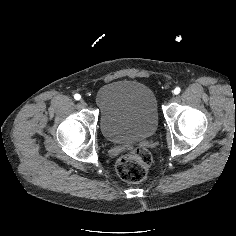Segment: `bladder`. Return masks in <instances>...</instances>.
I'll use <instances>...</instances> for the list:
<instances>
[{
  "mask_svg": "<svg viewBox=\"0 0 236 236\" xmlns=\"http://www.w3.org/2000/svg\"><path fill=\"white\" fill-rule=\"evenodd\" d=\"M100 127L105 139L113 144L146 140L158 128V101L147 85L118 80L102 86L95 94Z\"/></svg>",
  "mask_w": 236,
  "mask_h": 236,
  "instance_id": "1",
  "label": "bladder"
}]
</instances>
